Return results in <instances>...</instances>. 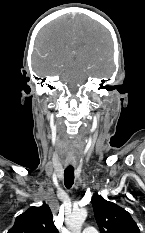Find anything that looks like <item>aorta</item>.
I'll return each instance as SVG.
<instances>
[{"instance_id": "762f6f07", "label": "aorta", "mask_w": 145, "mask_h": 233, "mask_svg": "<svg viewBox=\"0 0 145 233\" xmlns=\"http://www.w3.org/2000/svg\"><path fill=\"white\" fill-rule=\"evenodd\" d=\"M87 210L80 208L74 211L65 221L66 228L63 233H81V228L86 220Z\"/></svg>"}]
</instances>
